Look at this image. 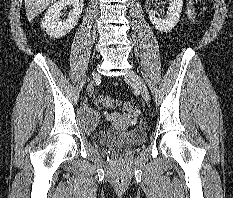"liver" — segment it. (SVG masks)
<instances>
[{"mask_svg": "<svg viewBox=\"0 0 233 198\" xmlns=\"http://www.w3.org/2000/svg\"><path fill=\"white\" fill-rule=\"evenodd\" d=\"M56 0H25L26 16L29 22Z\"/></svg>", "mask_w": 233, "mask_h": 198, "instance_id": "6515ba94", "label": "liver"}]
</instances>
